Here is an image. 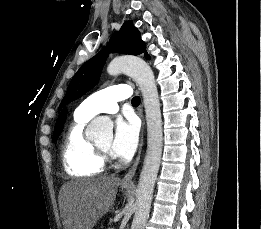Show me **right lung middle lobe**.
<instances>
[{
    "label": "right lung middle lobe",
    "mask_w": 261,
    "mask_h": 229,
    "mask_svg": "<svg viewBox=\"0 0 261 229\" xmlns=\"http://www.w3.org/2000/svg\"><path fill=\"white\" fill-rule=\"evenodd\" d=\"M63 125H56L55 126V130H54V134H53V142H55L57 140V138L59 137L61 131H62Z\"/></svg>",
    "instance_id": "1"
}]
</instances>
